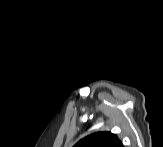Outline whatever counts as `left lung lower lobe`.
<instances>
[{
  "mask_svg": "<svg viewBox=\"0 0 163 147\" xmlns=\"http://www.w3.org/2000/svg\"><path fill=\"white\" fill-rule=\"evenodd\" d=\"M118 147H124V146H123L122 143L120 142L119 145H118Z\"/></svg>",
  "mask_w": 163,
  "mask_h": 147,
  "instance_id": "0a47b994",
  "label": "left lung lower lobe"
}]
</instances>
